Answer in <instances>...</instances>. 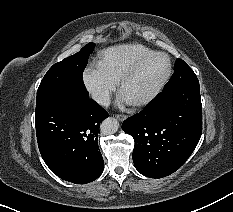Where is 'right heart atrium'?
Instances as JSON below:
<instances>
[{"instance_id":"1","label":"right heart atrium","mask_w":233,"mask_h":212,"mask_svg":"<svg viewBox=\"0 0 233 212\" xmlns=\"http://www.w3.org/2000/svg\"><path fill=\"white\" fill-rule=\"evenodd\" d=\"M82 82L91 98L100 105L108 104L118 85L99 63L86 66L82 73Z\"/></svg>"}]
</instances>
